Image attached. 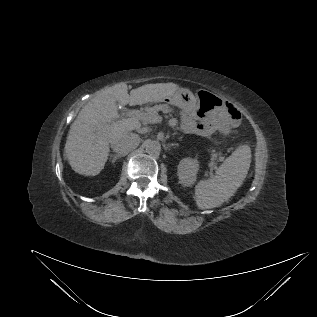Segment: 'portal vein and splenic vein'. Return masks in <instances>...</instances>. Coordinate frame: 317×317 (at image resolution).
Here are the masks:
<instances>
[{"label":"portal vein and splenic vein","mask_w":317,"mask_h":317,"mask_svg":"<svg viewBox=\"0 0 317 317\" xmlns=\"http://www.w3.org/2000/svg\"><path fill=\"white\" fill-rule=\"evenodd\" d=\"M125 116L133 118L134 120H137V121L149 119L150 123H159L162 121L161 116H157L154 118H151V117L148 118L146 113L140 112L139 110H129V111L125 112Z\"/></svg>","instance_id":"18ae733b"}]
</instances>
